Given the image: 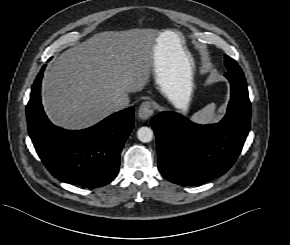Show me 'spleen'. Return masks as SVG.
<instances>
[{
	"mask_svg": "<svg viewBox=\"0 0 290 245\" xmlns=\"http://www.w3.org/2000/svg\"><path fill=\"white\" fill-rule=\"evenodd\" d=\"M192 120L199 124L216 123L219 115L216 113V104L210 103L192 116Z\"/></svg>",
	"mask_w": 290,
	"mask_h": 245,
	"instance_id": "spleen-1",
	"label": "spleen"
}]
</instances>
